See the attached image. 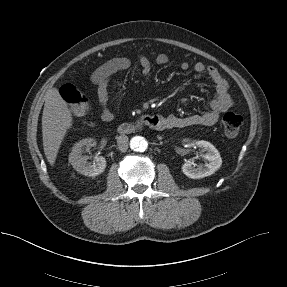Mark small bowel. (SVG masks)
Listing matches in <instances>:
<instances>
[{
    "label": "small bowel",
    "instance_id": "obj_1",
    "mask_svg": "<svg viewBox=\"0 0 287 287\" xmlns=\"http://www.w3.org/2000/svg\"><path fill=\"white\" fill-rule=\"evenodd\" d=\"M137 61L141 72L144 75H147L151 71L153 64L165 66L170 60L166 54L160 53L153 61L147 56L140 54L137 56ZM131 65L132 62L129 58L115 57L104 62L92 73L91 82L97 87L98 101L101 106L100 116L103 121H111L114 117L113 112L108 105V86L110 80L116 73L128 70ZM190 68L197 74H206L215 85V95L208 104V110L185 117L175 115L158 116L161 121V130L192 126H211L218 121L222 113L226 112L234 105L233 98L229 93L228 82L216 67L205 65L202 62H196L192 66L187 61L180 63V69L182 71H187Z\"/></svg>",
    "mask_w": 287,
    "mask_h": 287
}]
</instances>
